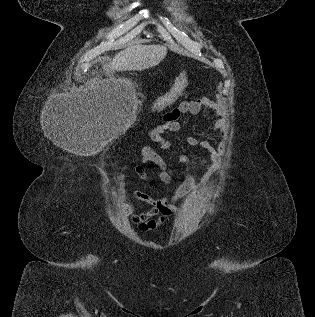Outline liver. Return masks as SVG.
Segmentation results:
<instances>
[{"label":"liver","instance_id":"1","mask_svg":"<svg viewBox=\"0 0 315 317\" xmlns=\"http://www.w3.org/2000/svg\"><path fill=\"white\" fill-rule=\"evenodd\" d=\"M166 55L167 48L162 45H131L117 53L108 68L110 72L143 71L158 65ZM127 95V92L123 93V105Z\"/></svg>","mask_w":315,"mask_h":317}]
</instances>
